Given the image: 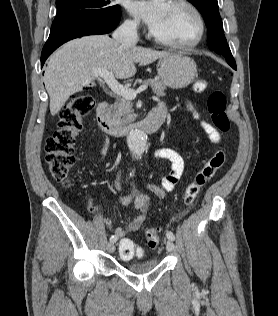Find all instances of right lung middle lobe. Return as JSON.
<instances>
[{
	"mask_svg": "<svg viewBox=\"0 0 278 316\" xmlns=\"http://www.w3.org/2000/svg\"><path fill=\"white\" fill-rule=\"evenodd\" d=\"M56 7L52 26L93 16L109 17L120 11L118 5L106 0H57Z\"/></svg>",
	"mask_w": 278,
	"mask_h": 316,
	"instance_id": "obj_1",
	"label": "right lung middle lobe"
}]
</instances>
